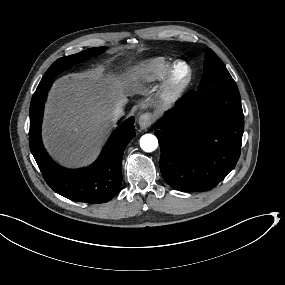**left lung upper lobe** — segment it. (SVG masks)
Listing matches in <instances>:
<instances>
[{"label":"left lung upper lobe","instance_id":"1","mask_svg":"<svg viewBox=\"0 0 285 285\" xmlns=\"http://www.w3.org/2000/svg\"><path fill=\"white\" fill-rule=\"evenodd\" d=\"M200 85L221 86L236 85L228 70L219 61L217 55L208 49L204 61V74Z\"/></svg>","mask_w":285,"mask_h":285}]
</instances>
